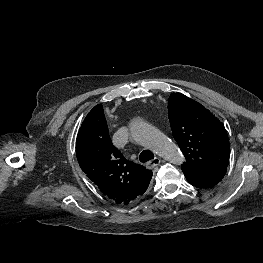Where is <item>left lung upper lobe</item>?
Returning a JSON list of instances; mask_svg holds the SVG:
<instances>
[{
	"label": "left lung upper lobe",
	"mask_w": 263,
	"mask_h": 263,
	"mask_svg": "<svg viewBox=\"0 0 263 263\" xmlns=\"http://www.w3.org/2000/svg\"><path fill=\"white\" fill-rule=\"evenodd\" d=\"M173 137L186 162L184 169L226 172L230 147L224 125L200 103L181 94L168 99Z\"/></svg>",
	"instance_id": "5c2ea615"
}]
</instances>
